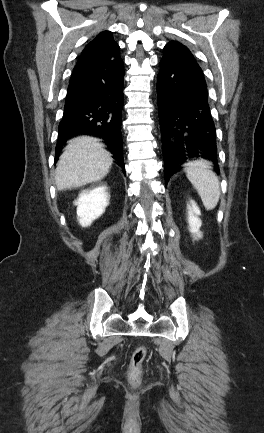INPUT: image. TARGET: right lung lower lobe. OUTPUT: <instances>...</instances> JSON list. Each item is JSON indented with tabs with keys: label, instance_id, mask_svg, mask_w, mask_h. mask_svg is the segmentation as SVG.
Instances as JSON below:
<instances>
[{
	"label": "right lung lower lobe",
	"instance_id": "98d812e1",
	"mask_svg": "<svg viewBox=\"0 0 264 433\" xmlns=\"http://www.w3.org/2000/svg\"><path fill=\"white\" fill-rule=\"evenodd\" d=\"M124 63L121 57H80L71 75L56 155L63 143L85 133L105 139L113 158L125 168L121 135Z\"/></svg>",
	"mask_w": 264,
	"mask_h": 433
}]
</instances>
